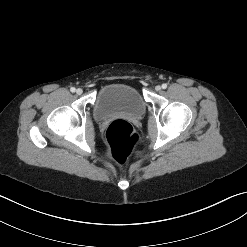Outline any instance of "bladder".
I'll list each match as a JSON object with an SVG mask.
<instances>
[{
    "mask_svg": "<svg viewBox=\"0 0 247 247\" xmlns=\"http://www.w3.org/2000/svg\"><path fill=\"white\" fill-rule=\"evenodd\" d=\"M145 111V101L139 91L128 84H108L99 91L94 115L104 120L114 115L140 116Z\"/></svg>",
    "mask_w": 247,
    "mask_h": 247,
    "instance_id": "31cf9c89",
    "label": "bladder"
}]
</instances>
